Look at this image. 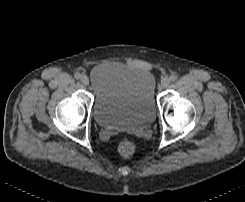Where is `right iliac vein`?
I'll list each match as a JSON object with an SVG mask.
<instances>
[{
  "label": "right iliac vein",
  "instance_id": "63e3f726",
  "mask_svg": "<svg viewBox=\"0 0 245 202\" xmlns=\"http://www.w3.org/2000/svg\"><path fill=\"white\" fill-rule=\"evenodd\" d=\"M80 81H81V83H82L84 86L89 85V79H88V77L85 76V75L81 76Z\"/></svg>",
  "mask_w": 245,
  "mask_h": 202
}]
</instances>
